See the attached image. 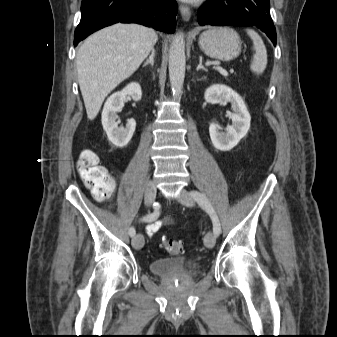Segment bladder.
<instances>
[{
	"instance_id": "1",
	"label": "bladder",
	"mask_w": 337,
	"mask_h": 337,
	"mask_svg": "<svg viewBox=\"0 0 337 337\" xmlns=\"http://www.w3.org/2000/svg\"><path fill=\"white\" fill-rule=\"evenodd\" d=\"M197 265L189 263L182 258H160L151 262L152 272L159 276H170L175 273L190 274L196 269Z\"/></svg>"
}]
</instances>
